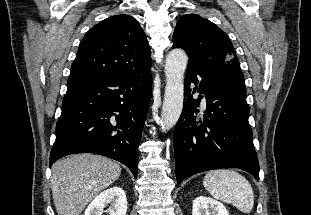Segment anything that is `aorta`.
Masks as SVG:
<instances>
[{
	"label": "aorta",
	"mask_w": 311,
	"mask_h": 215,
	"mask_svg": "<svg viewBox=\"0 0 311 215\" xmlns=\"http://www.w3.org/2000/svg\"><path fill=\"white\" fill-rule=\"evenodd\" d=\"M187 62V54L182 49H173L166 57V87L161 113L163 132L172 128L181 115L184 99V72Z\"/></svg>",
	"instance_id": "762f6f07"
}]
</instances>
